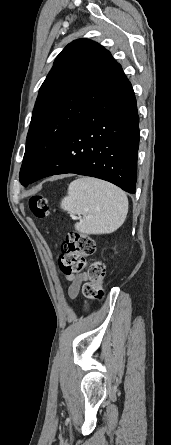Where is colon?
<instances>
[{
  "label": "colon",
  "mask_w": 171,
  "mask_h": 445,
  "mask_svg": "<svg viewBox=\"0 0 171 445\" xmlns=\"http://www.w3.org/2000/svg\"><path fill=\"white\" fill-rule=\"evenodd\" d=\"M29 207L37 218H45L50 210L48 200L42 195L31 197ZM95 251L96 245L92 238L71 232L62 244V254L59 258L60 269L66 274L80 272L87 267V280L82 287L83 296L87 301L104 297L105 266L100 260L87 263V259Z\"/></svg>",
  "instance_id": "1"
}]
</instances>
